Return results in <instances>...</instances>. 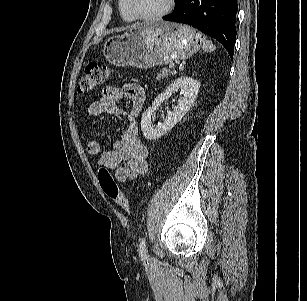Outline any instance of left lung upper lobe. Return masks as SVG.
I'll use <instances>...</instances> for the list:
<instances>
[{
    "label": "left lung upper lobe",
    "instance_id": "1",
    "mask_svg": "<svg viewBox=\"0 0 307 301\" xmlns=\"http://www.w3.org/2000/svg\"><path fill=\"white\" fill-rule=\"evenodd\" d=\"M179 0H175V4L178 2Z\"/></svg>",
    "mask_w": 307,
    "mask_h": 301
}]
</instances>
